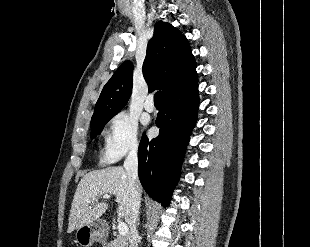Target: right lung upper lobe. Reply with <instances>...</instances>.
Listing matches in <instances>:
<instances>
[{
  "label": "right lung upper lobe",
  "mask_w": 310,
  "mask_h": 247,
  "mask_svg": "<svg viewBox=\"0 0 310 247\" xmlns=\"http://www.w3.org/2000/svg\"><path fill=\"white\" fill-rule=\"evenodd\" d=\"M133 65L125 61L104 86L91 123L114 116L126 105L132 90ZM143 75L149 91L161 89L163 98L184 90L198 81L196 62L188 40L167 22L155 24L147 46Z\"/></svg>",
  "instance_id": "1"
}]
</instances>
